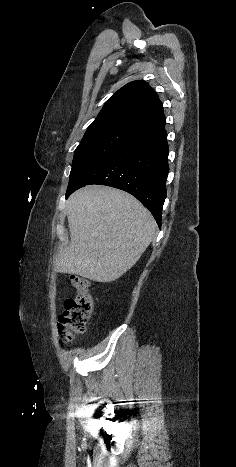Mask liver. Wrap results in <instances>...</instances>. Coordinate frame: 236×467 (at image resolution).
<instances>
[{"label":"liver","mask_w":236,"mask_h":467,"mask_svg":"<svg viewBox=\"0 0 236 467\" xmlns=\"http://www.w3.org/2000/svg\"><path fill=\"white\" fill-rule=\"evenodd\" d=\"M70 244L60 250L55 269L96 282H112L140 259L157 224L132 195L92 185L67 200Z\"/></svg>","instance_id":"6515ba94"}]
</instances>
